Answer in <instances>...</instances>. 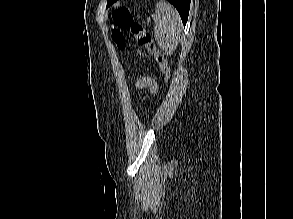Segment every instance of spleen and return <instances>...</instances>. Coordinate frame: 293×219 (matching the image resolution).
<instances>
[{
  "label": "spleen",
  "instance_id": "spleen-1",
  "mask_svg": "<svg viewBox=\"0 0 293 219\" xmlns=\"http://www.w3.org/2000/svg\"><path fill=\"white\" fill-rule=\"evenodd\" d=\"M154 20V36L159 47L171 55L178 47L182 21L178 12L169 4L161 0L156 4Z\"/></svg>",
  "mask_w": 293,
  "mask_h": 219
}]
</instances>
